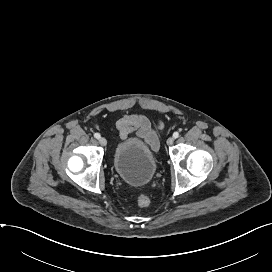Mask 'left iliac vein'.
<instances>
[{
	"label": "left iliac vein",
	"instance_id": "1",
	"mask_svg": "<svg viewBox=\"0 0 272 272\" xmlns=\"http://www.w3.org/2000/svg\"><path fill=\"white\" fill-rule=\"evenodd\" d=\"M174 143V138L173 137H169L167 139V145H172Z\"/></svg>",
	"mask_w": 272,
	"mask_h": 272
}]
</instances>
